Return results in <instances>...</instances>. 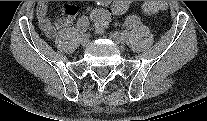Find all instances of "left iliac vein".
Wrapping results in <instances>:
<instances>
[{"instance_id": "1", "label": "left iliac vein", "mask_w": 207, "mask_h": 121, "mask_svg": "<svg viewBox=\"0 0 207 121\" xmlns=\"http://www.w3.org/2000/svg\"><path fill=\"white\" fill-rule=\"evenodd\" d=\"M113 41L118 45H123L125 43V36L121 32H113L110 34Z\"/></svg>"}]
</instances>
